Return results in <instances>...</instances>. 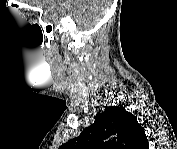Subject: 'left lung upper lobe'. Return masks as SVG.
I'll return each mask as SVG.
<instances>
[{
	"mask_svg": "<svg viewBox=\"0 0 177 149\" xmlns=\"http://www.w3.org/2000/svg\"><path fill=\"white\" fill-rule=\"evenodd\" d=\"M117 135L125 147L141 149L142 139L146 137L144 129L137 122L135 115L123 107H107L103 113L98 114L94 123L85 128L81 134L67 143L61 149H118L122 145L118 141L104 139Z\"/></svg>",
	"mask_w": 177,
	"mask_h": 149,
	"instance_id": "left-lung-upper-lobe-1",
	"label": "left lung upper lobe"
}]
</instances>
